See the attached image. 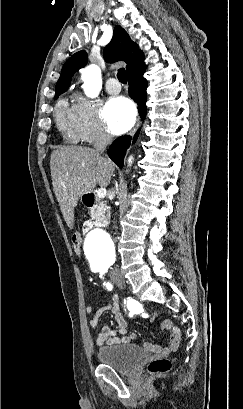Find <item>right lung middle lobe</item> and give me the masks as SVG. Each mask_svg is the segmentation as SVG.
Returning <instances> with one entry per match:
<instances>
[{"label": "right lung middle lobe", "instance_id": "dd1d6c3e", "mask_svg": "<svg viewBox=\"0 0 243 409\" xmlns=\"http://www.w3.org/2000/svg\"><path fill=\"white\" fill-rule=\"evenodd\" d=\"M60 94H61V93H56L55 99H57Z\"/></svg>", "mask_w": 243, "mask_h": 409}]
</instances>
